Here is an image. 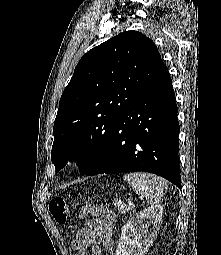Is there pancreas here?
<instances>
[{"instance_id": "obj_1", "label": "pancreas", "mask_w": 221, "mask_h": 255, "mask_svg": "<svg viewBox=\"0 0 221 255\" xmlns=\"http://www.w3.org/2000/svg\"><path fill=\"white\" fill-rule=\"evenodd\" d=\"M113 206L118 210L120 214H124L126 212H130L131 210H134L135 206L133 204L124 203L120 201H113Z\"/></svg>"}]
</instances>
